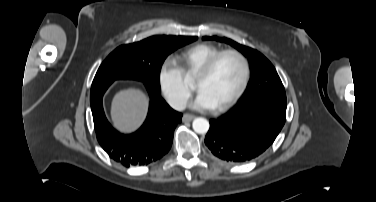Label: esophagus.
Here are the masks:
<instances>
[{"instance_id":"esophagus-1","label":"esophagus","mask_w":376,"mask_h":202,"mask_svg":"<svg viewBox=\"0 0 376 202\" xmlns=\"http://www.w3.org/2000/svg\"><path fill=\"white\" fill-rule=\"evenodd\" d=\"M195 118L194 115L192 114H184L183 117H182V121L183 122H189L191 120H193Z\"/></svg>"}]
</instances>
